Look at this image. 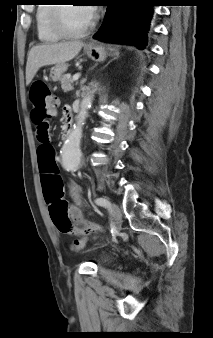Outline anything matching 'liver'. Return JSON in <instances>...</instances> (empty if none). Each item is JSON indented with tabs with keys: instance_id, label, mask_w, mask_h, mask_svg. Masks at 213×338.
<instances>
[{
	"instance_id": "6515ba94",
	"label": "liver",
	"mask_w": 213,
	"mask_h": 338,
	"mask_svg": "<svg viewBox=\"0 0 213 338\" xmlns=\"http://www.w3.org/2000/svg\"><path fill=\"white\" fill-rule=\"evenodd\" d=\"M83 46L84 43L81 41H71L32 47L26 64V85L31 83L41 67L68 62L80 52Z\"/></svg>"
}]
</instances>
